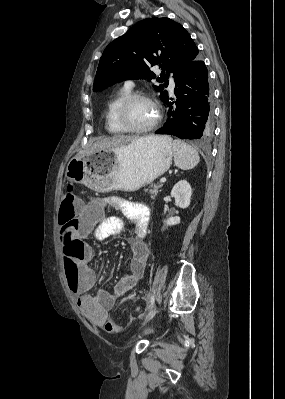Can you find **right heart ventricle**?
I'll use <instances>...</instances> for the list:
<instances>
[{"label": "right heart ventricle", "mask_w": 285, "mask_h": 399, "mask_svg": "<svg viewBox=\"0 0 285 399\" xmlns=\"http://www.w3.org/2000/svg\"><path fill=\"white\" fill-rule=\"evenodd\" d=\"M131 94V90L122 88L118 90L108 101L105 114L106 129L116 135L127 133L118 121V109L122 102Z\"/></svg>", "instance_id": "obj_1"}]
</instances>
